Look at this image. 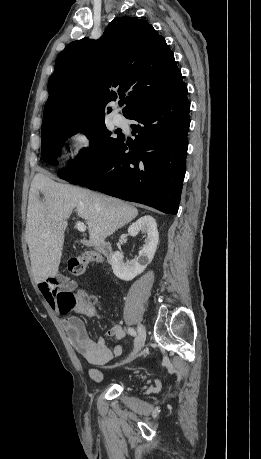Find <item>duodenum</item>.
Returning a JSON list of instances; mask_svg holds the SVG:
<instances>
[{"instance_id":"obj_1","label":"duodenum","mask_w":261,"mask_h":459,"mask_svg":"<svg viewBox=\"0 0 261 459\" xmlns=\"http://www.w3.org/2000/svg\"><path fill=\"white\" fill-rule=\"evenodd\" d=\"M99 251L106 257L107 260H111L113 255V250L111 246L107 243L102 244L99 247Z\"/></svg>"}]
</instances>
